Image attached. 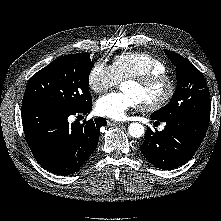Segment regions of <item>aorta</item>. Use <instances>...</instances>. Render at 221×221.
Instances as JSON below:
<instances>
[{
  "label": "aorta",
  "instance_id": "aorta-1",
  "mask_svg": "<svg viewBox=\"0 0 221 221\" xmlns=\"http://www.w3.org/2000/svg\"><path fill=\"white\" fill-rule=\"evenodd\" d=\"M128 132L130 136L139 138L144 134L145 129L144 126L140 123H131L128 127Z\"/></svg>",
  "mask_w": 221,
  "mask_h": 221
}]
</instances>
